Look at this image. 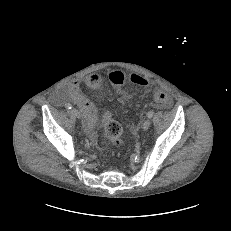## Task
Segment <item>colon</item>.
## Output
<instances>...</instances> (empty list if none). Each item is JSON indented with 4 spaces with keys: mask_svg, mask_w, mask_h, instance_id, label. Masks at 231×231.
<instances>
[{
    "mask_svg": "<svg viewBox=\"0 0 231 231\" xmlns=\"http://www.w3.org/2000/svg\"><path fill=\"white\" fill-rule=\"evenodd\" d=\"M109 81L114 87L121 86L126 80V74L120 70H114L109 73ZM130 80L132 83L137 85H144L146 81L143 77L138 74H131ZM154 98L160 104H165L168 102V96L164 92H156ZM103 126L104 132L107 138L109 139L111 145L114 148H120L123 144L122 140V127L120 123L115 120L112 113L106 111L103 115Z\"/></svg>",
    "mask_w": 231,
    "mask_h": 231,
    "instance_id": "5ec220e1",
    "label": "colon"
}]
</instances>
